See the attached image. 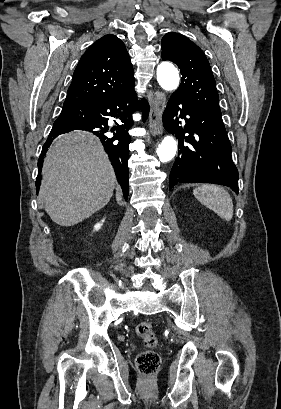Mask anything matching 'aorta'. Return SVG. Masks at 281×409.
Instances as JSON below:
<instances>
[{"label":"aorta","instance_id":"obj_1","mask_svg":"<svg viewBox=\"0 0 281 409\" xmlns=\"http://www.w3.org/2000/svg\"><path fill=\"white\" fill-rule=\"evenodd\" d=\"M157 81L166 91L177 89L179 85L178 70L169 62H162L157 67ZM177 151V143L172 136H166L157 149V155L161 162L172 160Z\"/></svg>","mask_w":281,"mask_h":409}]
</instances>
